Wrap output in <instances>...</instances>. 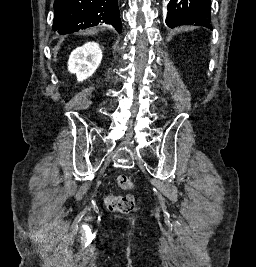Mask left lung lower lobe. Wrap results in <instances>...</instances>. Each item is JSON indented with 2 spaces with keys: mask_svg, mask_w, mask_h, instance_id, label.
Instances as JSON below:
<instances>
[{
  "mask_svg": "<svg viewBox=\"0 0 256 267\" xmlns=\"http://www.w3.org/2000/svg\"><path fill=\"white\" fill-rule=\"evenodd\" d=\"M170 6H171V1L168 3V10L170 11ZM170 28H173L175 26L178 25H184L183 22L177 21V22H172L170 17H168L167 19V23H166Z\"/></svg>",
  "mask_w": 256,
  "mask_h": 267,
  "instance_id": "0a47b994",
  "label": "left lung lower lobe"
}]
</instances>
